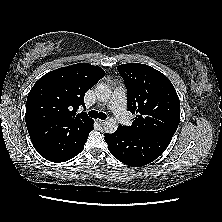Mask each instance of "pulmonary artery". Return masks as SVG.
<instances>
[{"label": "pulmonary artery", "instance_id": "pulmonary-artery-1", "mask_svg": "<svg viewBox=\"0 0 222 222\" xmlns=\"http://www.w3.org/2000/svg\"><path fill=\"white\" fill-rule=\"evenodd\" d=\"M108 106L120 123L124 125L130 123L126 110V93L123 87L120 86L114 90Z\"/></svg>", "mask_w": 222, "mask_h": 222}]
</instances>
